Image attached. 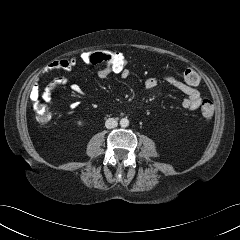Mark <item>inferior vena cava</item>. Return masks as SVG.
<instances>
[{
    "instance_id": "obj_1",
    "label": "inferior vena cava",
    "mask_w": 240,
    "mask_h": 240,
    "mask_svg": "<svg viewBox=\"0 0 240 240\" xmlns=\"http://www.w3.org/2000/svg\"><path fill=\"white\" fill-rule=\"evenodd\" d=\"M117 125H118V122H117V120L114 119V118H108V119L106 120V122H105V126H106V128H108V129L115 128V127H117Z\"/></svg>"
}]
</instances>
